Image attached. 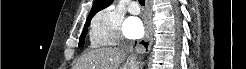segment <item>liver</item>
Returning a JSON list of instances; mask_svg holds the SVG:
<instances>
[{
	"instance_id": "liver-1",
	"label": "liver",
	"mask_w": 246,
	"mask_h": 69,
	"mask_svg": "<svg viewBox=\"0 0 246 69\" xmlns=\"http://www.w3.org/2000/svg\"><path fill=\"white\" fill-rule=\"evenodd\" d=\"M123 66H120L121 63ZM75 69H139L137 62H131L128 52L120 47H103L91 50L78 61Z\"/></svg>"
}]
</instances>
